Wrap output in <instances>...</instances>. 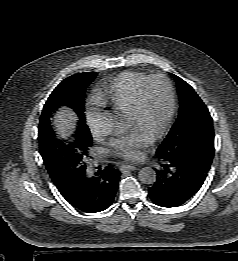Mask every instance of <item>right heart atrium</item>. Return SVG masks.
<instances>
[{
  "instance_id": "right-heart-atrium-1",
  "label": "right heart atrium",
  "mask_w": 238,
  "mask_h": 261,
  "mask_svg": "<svg viewBox=\"0 0 238 261\" xmlns=\"http://www.w3.org/2000/svg\"><path fill=\"white\" fill-rule=\"evenodd\" d=\"M86 118L94 136L100 137L104 134L101 113L94 107L87 110Z\"/></svg>"
}]
</instances>
